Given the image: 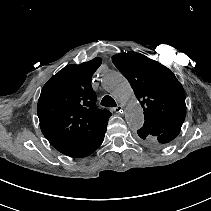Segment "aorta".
<instances>
[{
    "label": "aorta",
    "instance_id": "1",
    "mask_svg": "<svg viewBox=\"0 0 211 211\" xmlns=\"http://www.w3.org/2000/svg\"><path fill=\"white\" fill-rule=\"evenodd\" d=\"M102 85L120 103L125 105V119L131 129H139L144 123L143 110L128 80L118 72H108L102 77Z\"/></svg>",
    "mask_w": 211,
    "mask_h": 211
}]
</instances>
